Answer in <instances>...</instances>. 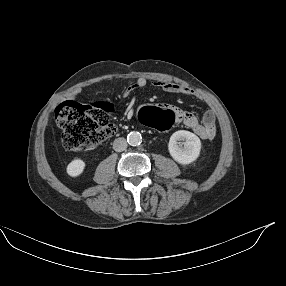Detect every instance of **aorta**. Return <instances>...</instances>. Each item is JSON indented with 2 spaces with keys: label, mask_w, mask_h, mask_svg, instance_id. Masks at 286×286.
Listing matches in <instances>:
<instances>
[{
  "label": "aorta",
  "mask_w": 286,
  "mask_h": 286,
  "mask_svg": "<svg viewBox=\"0 0 286 286\" xmlns=\"http://www.w3.org/2000/svg\"><path fill=\"white\" fill-rule=\"evenodd\" d=\"M127 142L131 145V146H138L141 144L142 142V136L139 132L137 131H132L128 134L127 136Z\"/></svg>",
  "instance_id": "1"
}]
</instances>
